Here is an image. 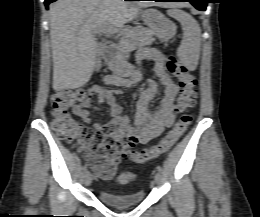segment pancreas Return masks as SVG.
<instances>
[{
    "mask_svg": "<svg viewBox=\"0 0 260 217\" xmlns=\"http://www.w3.org/2000/svg\"><path fill=\"white\" fill-rule=\"evenodd\" d=\"M154 40L155 38L150 30L137 26L124 30L118 48L122 53L126 54L137 47L150 45Z\"/></svg>",
    "mask_w": 260,
    "mask_h": 217,
    "instance_id": "cf45deb5",
    "label": "pancreas"
}]
</instances>
